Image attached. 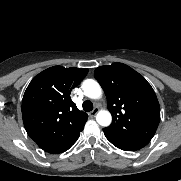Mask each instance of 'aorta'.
<instances>
[{
	"instance_id": "obj_1",
	"label": "aorta",
	"mask_w": 181,
	"mask_h": 181,
	"mask_svg": "<svg viewBox=\"0 0 181 181\" xmlns=\"http://www.w3.org/2000/svg\"><path fill=\"white\" fill-rule=\"evenodd\" d=\"M84 94L91 99H99L102 96V90L98 82L93 79H87L82 83ZM96 121L101 126H109L112 121V116L109 111L101 110L97 116Z\"/></svg>"
}]
</instances>
